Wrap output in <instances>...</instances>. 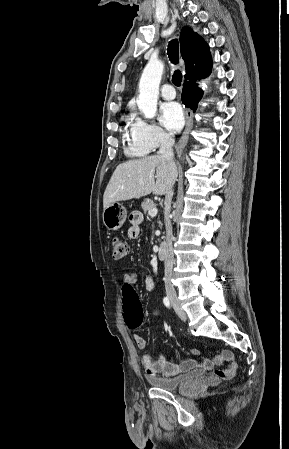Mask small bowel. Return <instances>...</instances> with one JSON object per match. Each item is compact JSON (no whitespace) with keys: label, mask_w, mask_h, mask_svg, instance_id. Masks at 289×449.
Instances as JSON below:
<instances>
[{"label":"small bowel","mask_w":289,"mask_h":449,"mask_svg":"<svg viewBox=\"0 0 289 449\" xmlns=\"http://www.w3.org/2000/svg\"><path fill=\"white\" fill-rule=\"evenodd\" d=\"M142 221L141 215L133 213L130 215V226L127 229V235L130 239H136L140 233V224ZM137 275L133 270H129L124 274L123 282L124 286L126 283H131L132 285L136 282ZM145 286L148 291H154L156 289V282L152 276H148L145 280ZM125 287L123 288V290ZM159 310L154 309L153 316L158 317ZM134 341L138 348L145 349L147 346L146 340L138 334L133 335ZM194 354H199L197 349L193 350ZM142 366L145 372L149 376H165L174 377L193 368H201L204 370H211L215 366H222L226 364L225 367L216 369L214 374L220 379H231L235 376L238 363L235 359L233 352L229 350L222 351L219 355L213 358H206L203 361H198L196 359H188L180 364H176L171 357L160 353L159 358L155 359L151 354L144 353L141 358Z\"/></svg>","instance_id":"obj_1"}]
</instances>
